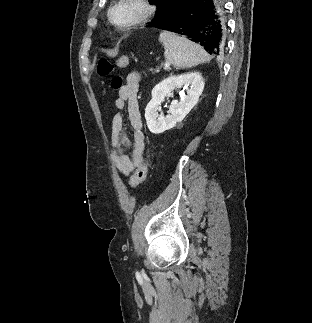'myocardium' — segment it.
<instances>
[{
  "label": "myocardium",
  "instance_id": "f54148a6",
  "mask_svg": "<svg viewBox=\"0 0 312 323\" xmlns=\"http://www.w3.org/2000/svg\"><path fill=\"white\" fill-rule=\"evenodd\" d=\"M153 0H118L114 1L110 10L105 11L111 25L116 31H134L141 21H154L160 5ZM121 13H131L121 14Z\"/></svg>",
  "mask_w": 312,
  "mask_h": 323
}]
</instances>
